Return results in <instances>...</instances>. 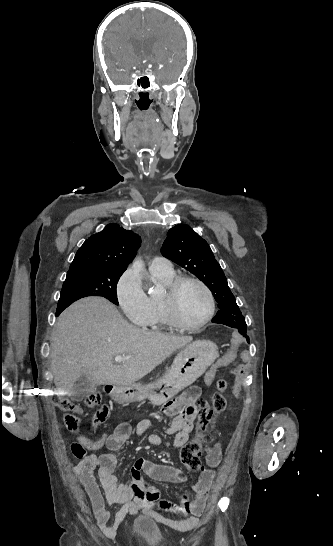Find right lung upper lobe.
Listing matches in <instances>:
<instances>
[{"mask_svg":"<svg viewBox=\"0 0 333 546\" xmlns=\"http://www.w3.org/2000/svg\"><path fill=\"white\" fill-rule=\"evenodd\" d=\"M140 245L139 235L117 224H109L83 243L67 274L83 273L93 268L126 270Z\"/></svg>","mask_w":333,"mask_h":546,"instance_id":"cb5924a9","label":"right lung upper lobe"}]
</instances>
